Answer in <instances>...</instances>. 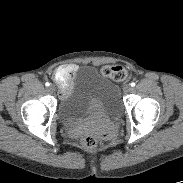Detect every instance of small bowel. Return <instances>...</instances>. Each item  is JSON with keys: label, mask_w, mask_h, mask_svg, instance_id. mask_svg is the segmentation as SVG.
<instances>
[{"label": "small bowel", "mask_w": 183, "mask_h": 183, "mask_svg": "<svg viewBox=\"0 0 183 183\" xmlns=\"http://www.w3.org/2000/svg\"><path fill=\"white\" fill-rule=\"evenodd\" d=\"M77 70L76 65L70 64V65H65L61 67L57 72H65V71H70L73 75L75 74ZM72 85V80L69 84H67L64 88L61 89L62 93H67Z\"/></svg>", "instance_id": "obj_1"}]
</instances>
